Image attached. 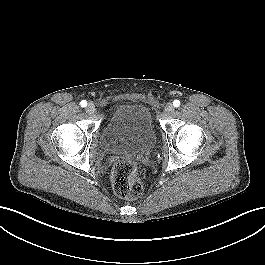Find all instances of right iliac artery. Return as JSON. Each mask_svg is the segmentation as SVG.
Instances as JSON below:
<instances>
[{"instance_id": "obj_1", "label": "right iliac artery", "mask_w": 265, "mask_h": 265, "mask_svg": "<svg viewBox=\"0 0 265 265\" xmlns=\"http://www.w3.org/2000/svg\"><path fill=\"white\" fill-rule=\"evenodd\" d=\"M80 105H81V107H86L87 106V101L86 100H82L80 102Z\"/></svg>"}]
</instances>
